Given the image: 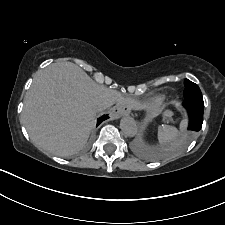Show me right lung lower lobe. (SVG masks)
<instances>
[{
  "instance_id": "1",
  "label": "right lung lower lobe",
  "mask_w": 225,
  "mask_h": 225,
  "mask_svg": "<svg viewBox=\"0 0 225 225\" xmlns=\"http://www.w3.org/2000/svg\"><path fill=\"white\" fill-rule=\"evenodd\" d=\"M106 119V116L104 115V116H102V117H100L99 119H98V122H97V125H99L103 120H105Z\"/></svg>"
}]
</instances>
